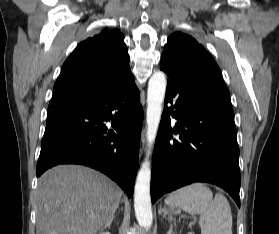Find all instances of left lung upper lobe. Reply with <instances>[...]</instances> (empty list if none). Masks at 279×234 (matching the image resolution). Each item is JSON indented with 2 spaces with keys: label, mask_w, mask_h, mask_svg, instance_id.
<instances>
[{
  "label": "left lung upper lobe",
  "mask_w": 279,
  "mask_h": 234,
  "mask_svg": "<svg viewBox=\"0 0 279 234\" xmlns=\"http://www.w3.org/2000/svg\"><path fill=\"white\" fill-rule=\"evenodd\" d=\"M162 55L192 71L222 78L221 71L206 49L193 37L175 32L168 38Z\"/></svg>",
  "instance_id": "1"
}]
</instances>
